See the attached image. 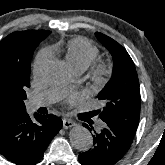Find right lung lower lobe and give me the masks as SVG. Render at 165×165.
Wrapping results in <instances>:
<instances>
[{"instance_id":"98d812e1","label":"right lung lower lobe","mask_w":165,"mask_h":165,"mask_svg":"<svg viewBox=\"0 0 165 165\" xmlns=\"http://www.w3.org/2000/svg\"><path fill=\"white\" fill-rule=\"evenodd\" d=\"M22 113L0 125V153L18 165H35L52 138L62 128L57 116Z\"/></svg>"}]
</instances>
